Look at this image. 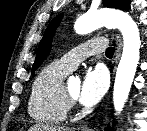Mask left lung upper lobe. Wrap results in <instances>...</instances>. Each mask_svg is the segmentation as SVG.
Instances as JSON below:
<instances>
[{"label": "left lung upper lobe", "instance_id": "left-lung-upper-lobe-1", "mask_svg": "<svg viewBox=\"0 0 147 131\" xmlns=\"http://www.w3.org/2000/svg\"><path fill=\"white\" fill-rule=\"evenodd\" d=\"M103 4L106 7L118 8L121 10H127L130 5V0H103ZM63 14L56 16L51 23L48 25L42 40L39 43L38 51L36 54V59L32 67V72L34 73L36 69L42 64L47 55L51 50V41L57 26L62 20Z\"/></svg>", "mask_w": 147, "mask_h": 131}]
</instances>
